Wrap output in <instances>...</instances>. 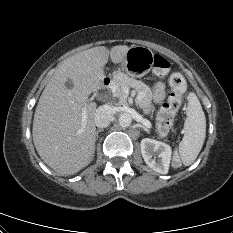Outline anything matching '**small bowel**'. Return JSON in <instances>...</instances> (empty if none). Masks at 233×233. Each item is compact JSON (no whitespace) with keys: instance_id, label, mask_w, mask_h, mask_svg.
I'll use <instances>...</instances> for the list:
<instances>
[{"instance_id":"small-bowel-1","label":"small bowel","mask_w":233,"mask_h":233,"mask_svg":"<svg viewBox=\"0 0 233 233\" xmlns=\"http://www.w3.org/2000/svg\"><path fill=\"white\" fill-rule=\"evenodd\" d=\"M153 98L155 102H161L165 98V85L162 82L155 84L153 89Z\"/></svg>"}]
</instances>
